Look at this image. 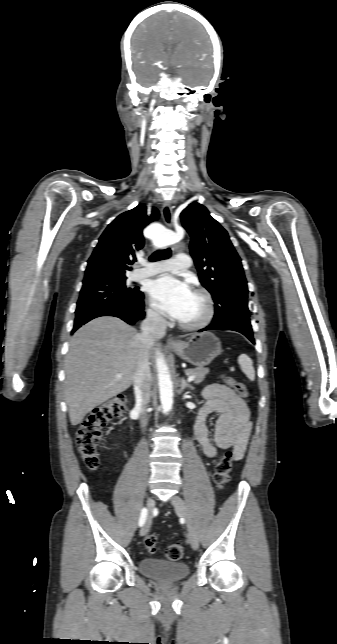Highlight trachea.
Segmentation results:
<instances>
[{"label": "trachea", "instance_id": "3493384b", "mask_svg": "<svg viewBox=\"0 0 337 644\" xmlns=\"http://www.w3.org/2000/svg\"><path fill=\"white\" fill-rule=\"evenodd\" d=\"M170 255H171V249L170 248H167L165 250H158V251H156L155 253H153L151 255L150 260L151 261H157V260L168 258V257H170Z\"/></svg>", "mask_w": 337, "mask_h": 644}]
</instances>
